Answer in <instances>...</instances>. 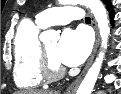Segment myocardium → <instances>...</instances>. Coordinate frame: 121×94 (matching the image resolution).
I'll use <instances>...</instances> for the list:
<instances>
[{"label": "myocardium", "instance_id": "obj_1", "mask_svg": "<svg viewBox=\"0 0 121 94\" xmlns=\"http://www.w3.org/2000/svg\"><path fill=\"white\" fill-rule=\"evenodd\" d=\"M39 66L41 77L48 82L60 79L66 71L61 65L51 60L43 44L40 45Z\"/></svg>", "mask_w": 121, "mask_h": 94}]
</instances>
